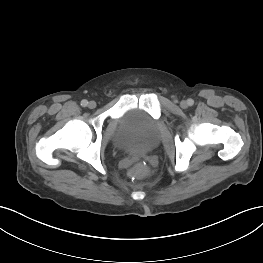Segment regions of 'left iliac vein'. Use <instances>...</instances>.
Masks as SVG:
<instances>
[{
	"label": "left iliac vein",
	"instance_id": "left-iliac-vein-1",
	"mask_svg": "<svg viewBox=\"0 0 263 263\" xmlns=\"http://www.w3.org/2000/svg\"><path fill=\"white\" fill-rule=\"evenodd\" d=\"M180 105H181L182 108H186L187 107V102L186 101H182L180 103Z\"/></svg>",
	"mask_w": 263,
	"mask_h": 263
}]
</instances>
